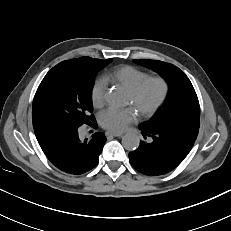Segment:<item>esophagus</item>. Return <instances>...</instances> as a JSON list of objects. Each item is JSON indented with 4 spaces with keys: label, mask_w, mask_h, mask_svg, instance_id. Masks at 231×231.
<instances>
[{
    "label": "esophagus",
    "mask_w": 231,
    "mask_h": 231,
    "mask_svg": "<svg viewBox=\"0 0 231 231\" xmlns=\"http://www.w3.org/2000/svg\"><path fill=\"white\" fill-rule=\"evenodd\" d=\"M123 135V132L115 133V132H106L107 137H121Z\"/></svg>",
    "instance_id": "obj_1"
}]
</instances>
